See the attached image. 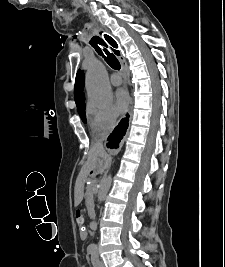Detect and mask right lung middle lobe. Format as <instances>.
<instances>
[{"label":"right lung middle lobe","instance_id":"dd1d6c3e","mask_svg":"<svg viewBox=\"0 0 225 267\" xmlns=\"http://www.w3.org/2000/svg\"><path fill=\"white\" fill-rule=\"evenodd\" d=\"M79 115L81 119L83 120L84 123H86V115H85V104H83L79 109H78Z\"/></svg>","mask_w":225,"mask_h":267}]
</instances>
